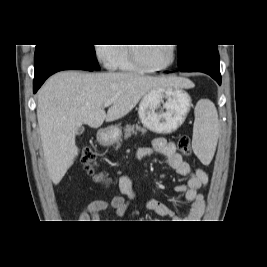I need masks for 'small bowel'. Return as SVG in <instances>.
Listing matches in <instances>:
<instances>
[{
  "instance_id": "obj_1",
  "label": "small bowel",
  "mask_w": 267,
  "mask_h": 267,
  "mask_svg": "<svg viewBox=\"0 0 267 267\" xmlns=\"http://www.w3.org/2000/svg\"><path fill=\"white\" fill-rule=\"evenodd\" d=\"M153 154L162 155L165 158L166 164L178 175L188 177L187 183L176 185L174 191L185 195L186 200L190 203V208L184 217H178L168 205L153 198L146 201L145 208L158 216L171 220L196 222L204 212V197L199 190L207 184L208 175L201 168H191L189 163L177 152L175 144L164 138H156L152 141L150 147L138 149L136 158L142 159ZM118 187L123 196H113L109 201L102 199L93 200L81 212L79 221L96 222L99 220L100 214L108 208L113 209L117 217H123L129 207V201L134 200L137 193L133 187L132 178L128 174H123L119 177Z\"/></svg>"
}]
</instances>
